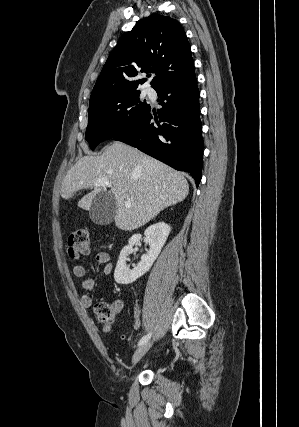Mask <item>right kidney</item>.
I'll return each mask as SVG.
<instances>
[{
    "mask_svg": "<svg viewBox=\"0 0 299 427\" xmlns=\"http://www.w3.org/2000/svg\"><path fill=\"white\" fill-rule=\"evenodd\" d=\"M170 231V226L165 222H158L149 226L145 230L144 235L145 241L149 244L150 249L146 255L141 257V261L136 266H134L133 269H130L126 265V260L133 252V246L139 243L142 237L141 234L133 235L129 239L128 245L125 246L120 253L119 260L114 272L115 281L118 284H131L139 277L144 275L147 271H149L152 264L160 254Z\"/></svg>",
    "mask_w": 299,
    "mask_h": 427,
    "instance_id": "obj_1",
    "label": "right kidney"
}]
</instances>
